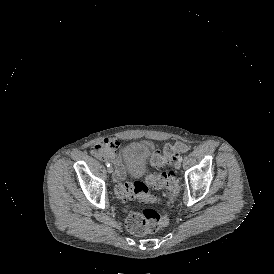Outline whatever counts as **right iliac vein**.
<instances>
[{"mask_svg": "<svg viewBox=\"0 0 274 274\" xmlns=\"http://www.w3.org/2000/svg\"><path fill=\"white\" fill-rule=\"evenodd\" d=\"M107 171H108L109 173H113L114 169H113L112 166H109V167L107 168Z\"/></svg>", "mask_w": 274, "mask_h": 274, "instance_id": "obj_1", "label": "right iliac vein"}]
</instances>
